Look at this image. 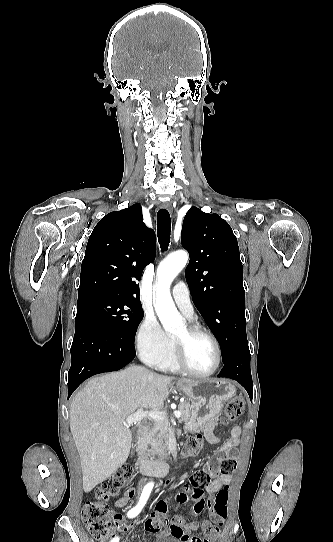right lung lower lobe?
<instances>
[{
    "label": "right lung lower lobe",
    "mask_w": 333,
    "mask_h": 542,
    "mask_svg": "<svg viewBox=\"0 0 333 542\" xmlns=\"http://www.w3.org/2000/svg\"><path fill=\"white\" fill-rule=\"evenodd\" d=\"M71 346L72 363L68 373V398L87 378L117 371L130 363L135 349H130L111 333L105 324L91 316H76Z\"/></svg>",
    "instance_id": "98d812e1"
}]
</instances>
